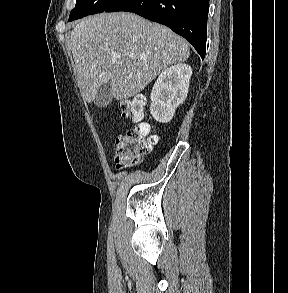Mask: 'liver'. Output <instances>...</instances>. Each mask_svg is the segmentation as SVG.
<instances>
[{
	"label": "liver",
	"mask_w": 288,
	"mask_h": 293,
	"mask_svg": "<svg viewBox=\"0 0 288 293\" xmlns=\"http://www.w3.org/2000/svg\"><path fill=\"white\" fill-rule=\"evenodd\" d=\"M69 45L86 102H92L97 89L108 82L116 100L131 98L190 54L187 43L171 29L129 12L82 19L72 30Z\"/></svg>",
	"instance_id": "obj_1"
}]
</instances>
